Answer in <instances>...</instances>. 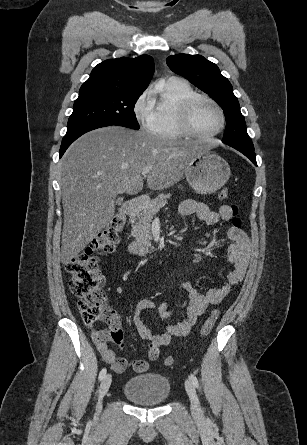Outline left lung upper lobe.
<instances>
[{
	"mask_svg": "<svg viewBox=\"0 0 307 445\" xmlns=\"http://www.w3.org/2000/svg\"><path fill=\"white\" fill-rule=\"evenodd\" d=\"M166 62L172 71L184 76L221 106L227 122L222 140L225 144L254 148L233 88L214 63L201 55L188 54L169 56Z\"/></svg>",
	"mask_w": 307,
	"mask_h": 445,
	"instance_id": "1",
	"label": "left lung upper lobe"
}]
</instances>
